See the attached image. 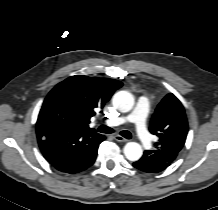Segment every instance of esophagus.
I'll return each mask as SVG.
<instances>
[{"label":"esophagus","instance_id":"1","mask_svg":"<svg viewBox=\"0 0 218 210\" xmlns=\"http://www.w3.org/2000/svg\"><path fill=\"white\" fill-rule=\"evenodd\" d=\"M114 139H115L117 142H122V143H125V142L128 141L126 138H124V137L121 136V135H115V136H114Z\"/></svg>","mask_w":218,"mask_h":210}]
</instances>
